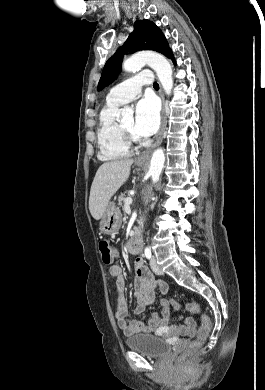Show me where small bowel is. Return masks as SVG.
Masks as SVG:
<instances>
[{
  "mask_svg": "<svg viewBox=\"0 0 265 390\" xmlns=\"http://www.w3.org/2000/svg\"><path fill=\"white\" fill-rule=\"evenodd\" d=\"M115 256L118 250L114 249ZM109 272L116 278V308L115 317L118 327L126 334L133 335L137 333H157L162 334L167 331V325L170 319L171 304L167 299L160 301V312L153 313L149 322L144 323L140 320H128V306L125 294V281L123 268L120 265H113ZM134 289L136 297L135 314H141L145 309L153 304L155 299V289L158 287L162 294L168 292V285L163 280L156 279L148 268L143 264L141 259L136 260L135 264ZM181 323L174 326L173 330L184 336L193 337L196 333V322L192 317L179 316Z\"/></svg>",
  "mask_w": 265,
  "mask_h": 390,
  "instance_id": "small-bowel-1",
  "label": "small bowel"
}]
</instances>
